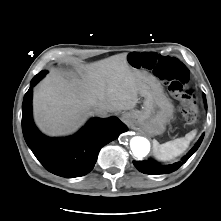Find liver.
<instances>
[{"label":"liver","instance_id":"obj_1","mask_svg":"<svg viewBox=\"0 0 221 221\" xmlns=\"http://www.w3.org/2000/svg\"><path fill=\"white\" fill-rule=\"evenodd\" d=\"M82 80L69 81L53 72L33 95L34 119L50 136L75 132L96 109L107 112L131 110L138 103L143 74L133 70L127 54H118L84 67Z\"/></svg>","mask_w":221,"mask_h":221}]
</instances>
